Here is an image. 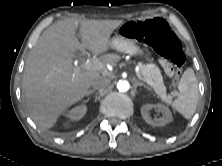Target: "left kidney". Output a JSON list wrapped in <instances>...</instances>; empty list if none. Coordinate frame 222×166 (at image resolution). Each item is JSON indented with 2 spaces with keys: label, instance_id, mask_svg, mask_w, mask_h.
Segmentation results:
<instances>
[{
  "label": "left kidney",
  "instance_id": "5707ae66",
  "mask_svg": "<svg viewBox=\"0 0 222 166\" xmlns=\"http://www.w3.org/2000/svg\"><path fill=\"white\" fill-rule=\"evenodd\" d=\"M155 108L162 113V117L152 119L149 111ZM141 114L146 123L152 126H164L172 121V114L169 108L163 104H145L141 107Z\"/></svg>",
  "mask_w": 222,
  "mask_h": 166
}]
</instances>
